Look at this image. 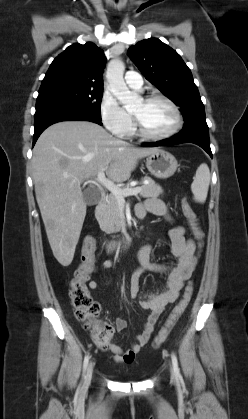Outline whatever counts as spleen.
Returning a JSON list of instances; mask_svg holds the SVG:
<instances>
[{"label":"spleen","instance_id":"spleen-1","mask_svg":"<svg viewBox=\"0 0 248 419\" xmlns=\"http://www.w3.org/2000/svg\"><path fill=\"white\" fill-rule=\"evenodd\" d=\"M210 184V170L207 164L202 163L194 177L193 183L191 184V190L194 195V200L200 203H204L207 198L208 189Z\"/></svg>","mask_w":248,"mask_h":419}]
</instances>
